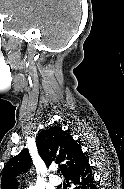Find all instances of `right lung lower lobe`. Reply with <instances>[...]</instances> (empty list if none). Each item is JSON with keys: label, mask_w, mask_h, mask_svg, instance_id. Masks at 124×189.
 <instances>
[{"label": "right lung lower lobe", "mask_w": 124, "mask_h": 189, "mask_svg": "<svg viewBox=\"0 0 124 189\" xmlns=\"http://www.w3.org/2000/svg\"><path fill=\"white\" fill-rule=\"evenodd\" d=\"M68 185L72 189H96L94 176L88 160L78 169L68 173L65 176Z\"/></svg>", "instance_id": "98d812e1"}]
</instances>
